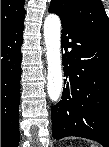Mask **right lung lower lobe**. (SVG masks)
Segmentation results:
<instances>
[{"instance_id": "98d812e1", "label": "right lung lower lobe", "mask_w": 109, "mask_h": 147, "mask_svg": "<svg viewBox=\"0 0 109 147\" xmlns=\"http://www.w3.org/2000/svg\"><path fill=\"white\" fill-rule=\"evenodd\" d=\"M22 21L1 33V146L19 144L18 107L20 102Z\"/></svg>"}]
</instances>
